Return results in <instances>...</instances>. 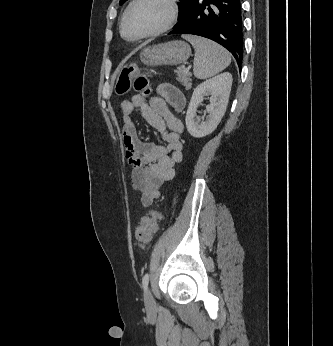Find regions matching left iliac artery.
Instances as JSON below:
<instances>
[{
	"mask_svg": "<svg viewBox=\"0 0 333 346\" xmlns=\"http://www.w3.org/2000/svg\"><path fill=\"white\" fill-rule=\"evenodd\" d=\"M149 283V273H146L142 278V287L144 290L147 289Z\"/></svg>",
	"mask_w": 333,
	"mask_h": 346,
	"instance_id": "1",
	"label": "left iliac artery"
}]
</instances>
